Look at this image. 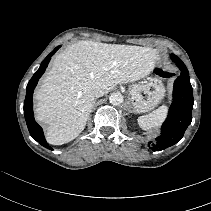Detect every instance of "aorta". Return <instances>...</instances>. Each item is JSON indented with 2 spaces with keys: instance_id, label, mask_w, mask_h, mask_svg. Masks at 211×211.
Here are the masks:
<instances>
[{
  "instance_id": "obj_1",
  "label": "aorta",
  "mask_w": 211,
  "mask_h": 211,
  "mask_svg": "<svg viewBox=\"0 0 211 211\" xmlns=\"http://www.w3.org/2000/svg\"><path fill=\"white\" fill-rule=\"evenodd\" d=\"M112 105H120L123 102V96L120 93H113L109 97Z\"/></svg>"
}]
</instances>
